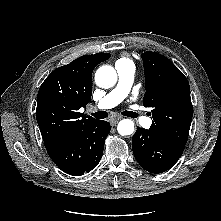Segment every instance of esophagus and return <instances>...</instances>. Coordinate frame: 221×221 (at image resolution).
Masks as SVG:
<instances>
[{
	"label": "esophagus",
	"mask_w": 221,
	"mask_h": 221,
	"mask_svg": "<svg viewBox=\"0 0 221 221\" xmlns=\"http://www.w3.org/2000/svg\"><path fill=\"white\" fill-rule=\"evenodd\" d=\"M120 119H121L120 117H113V118H111L110 119L111 125L115 126L119 122Z\"/></svg>",
	"instance_id": "34e87169"
}]
</instances>
